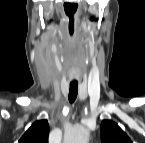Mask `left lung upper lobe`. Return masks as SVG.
<instances>
[{
	"instance_id": "1",
	"label": "left lung upper lobe",
	"mask_w": 145,
	"mask_h": 143,
	"mask_svg": "<svg viewBox=\"0 0 145 143\" xmlns=\"http://www.w3.org/2000/svg\"><path fill=\"white\" fill-rule=\"evenodd\" d=\"M102 143H131L127 134L113 121L103 120L100 127Z\"/></svg>"
}]
</instances>
